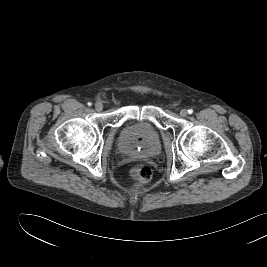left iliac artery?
<instances>
[{"mask_svg": "<svg viewBox=\"0 0 267 267\" xmlns=\"http://www.w3.org/2000/svg\"><path fill=\"white\" fill-rule=\"evenodd\" d=\"M188 113H189V114H192V113H193V109H189V110H188Z\"/></svg>", "mask_w": 267, "mask_h": 267, "instance_id": "left-iliac-artery-1", "label": "left iliac artery"}]
</instances>
